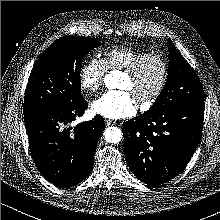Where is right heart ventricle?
Wrapping results in <instances>:
<instances>
[{
	"mask_svg": "<svg viewBox=\"0 0 220 220\" xmlns=\"http://www.w3.org/2000/svg\"><path fill=\"white\" fill-rule=\"evenodd\" d=\"M148 55L149 52L133 47H114L104 52L103 61L109 70H127Z\"/></svg>",
	"mask_w": 220,
	"mask_h": 220,
	"instance_id": "obj_1",
	"label": "right heart ventricle"
}]
</instances>
